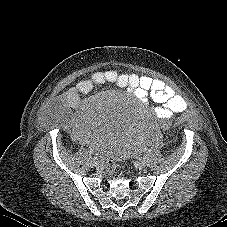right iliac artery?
<instances>
[{
  "mask_svg": "<svg viewBox=\"0 0 227 227\" xmlns=\"http://www.w3.org/2000/svg\"><path fill=\"white\" fill-rule=\"evenodd\" d=\"M89 153H90V154H93L94 151H93L92 149H90V150H89ZM95 160H98L97 157H94V158H93V161H95Z\"/></svg>",
  "mask_w": 227,
  "mask_h": 227,
  "instance_id": "82829eb1",
  "label": "right iliac artery"
}]
</instances>
